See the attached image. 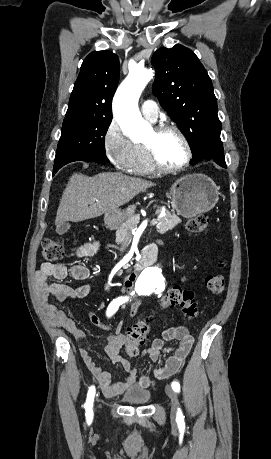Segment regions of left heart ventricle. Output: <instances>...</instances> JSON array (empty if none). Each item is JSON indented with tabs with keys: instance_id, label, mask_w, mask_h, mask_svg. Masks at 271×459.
Returning <instances> with one entry per match:
<instances>
[{
	"instance_id": "1",
	"label": "left heart ventricle",
	"mask_w": 271,
	"mask_h": 459,
	"mask_svg": "<svg viewBox=\"0 0 271 459\" xmlns=\"http://www.w3.org/2000/svg\"><path fill=\"white\" fill-rule=\"evenodd\" d=\"M146 142L156 146L160 158L167 164H177L186 158V146L182 138L173 131H168L157 138L152 130Z\"/></svg>"
}]
</instances>
